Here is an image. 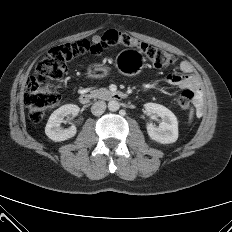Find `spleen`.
Returning <instances> with one entry per match:
<instances>
[{"mask_svg":"<svg viewBox=\"0 0 232 232\" xmlns=\"http://www.w3.org/2000/svg\"><path fill=\"white\" fill-rule=\"evenodd\" d=\"M193 118V113L191 112L190 115H189V121H191Z\"/></svg>","mask_w":232,"mask_h":232,"instance_id":"3e777b00","label":"spleen"}]
</instances>
